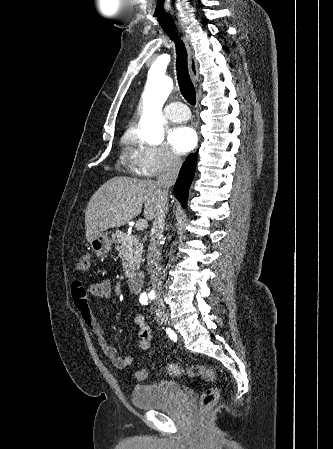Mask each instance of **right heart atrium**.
Here are the masks:
<instances>
[{"label": "right heart atrium", "mask_w": 333, "mask_h": 449, "mask_svg": "<svg viewBox=\"0 0 333 449\" xmlns=\"http://www.w3.org/2000/svg\"><path fill=\"white\" fill-rule=\"evenodd\" d=\"M131 160L137 173L145 178L175 172L182 164L181 158L166 145L143 142H137L131 153Z\"/></svg>", "instance_id": "d8ad5b80"}]
</instances>
